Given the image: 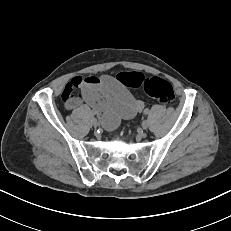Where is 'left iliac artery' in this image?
I'll list each match as a JSON object with an SVG mask.
<instances>
[{
    "label": "left iliac artery",
    "instance_id": "left-iliac-artery-1",
    "mask_svg": "<svg viewBox=\"0 0 231 231\" xmlns=\"http://www.w3.org/2000/svg\"><path fill=\"white\" fill-rule=\"evenodd\" d=\"M144 114H145V115L149 114V110H148V109H145V110H144Z\"/></svg>",
    "mask_w": 231,
    "mask_h": 231
}]
</instances>
